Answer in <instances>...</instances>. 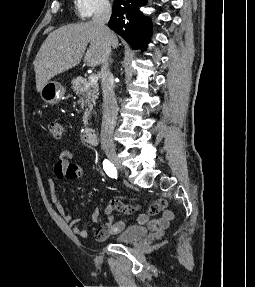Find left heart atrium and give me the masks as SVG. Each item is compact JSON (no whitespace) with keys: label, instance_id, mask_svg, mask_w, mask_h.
<instances>
[{"label":"left heart atrium","instance_id":"left-heart-atrium-1","mask_svg":"<svg viewBox=\"0 0 255 287\" xmlns=\"http://www.w3.org/2000/svg\"><path fill=\"white\" fill-rule=\"evenodd\" d=\"M114 13H118V12H114ZM78 33H92V32H78ZM76 39H90V38H76ZM82 48H88V47H82Z\"/></svg>","mask_w":255,"mask_h":287}]
</instances>
